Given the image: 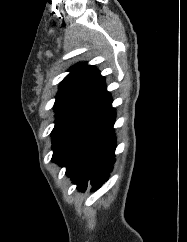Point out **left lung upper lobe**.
I'll use <instances>...</instances> for the list:
<instances>
[{"label":"left lung upper lobe","instance_id":"left-lung-upper-lobe-1","mask_svg":"<svg viewBox=\"0 0 187 242\" xmlns=\"http://www.w3.org/2000/svg\"><path fill=\"white\" fill-rule=\"evenodd\" d=\"M61 81L54 104L52 161L61 165L77 140L112 109V98L100 71L78 63Z\"/></svg>","mask_w":187,"mask_h":242}]
</instances>
